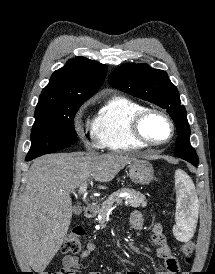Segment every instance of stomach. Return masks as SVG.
<instances>
[{"label":"stomach","mask_w":215,"mask_h":274,"mask_svg":"<svg viewBox=\"0 0 215 274\" xmlns=\"http://www.w3.org/2000/svg\"><path fill=\"white\" fill-rule=\"evenodd\" d=\"M130 179L141 185H148L154 178L153 166L146 160L135 159L129 165Z\"/></svg>","instance_id":"0dacf381"}]
</instances>
